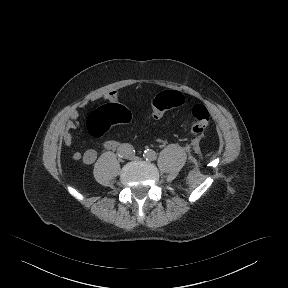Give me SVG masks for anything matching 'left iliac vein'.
Masks as SVG:
<instances>
[{"label": "left iliac vein", "mask_w": 288, "mask_h": 288, "mask_svg": "<svg viewBox=\"0 0 288 288\" xmlns=\"http://www.w3.org/2000/svg\"><path fill=\"white\" fill-rule=\"evenodd\" d=\"M134 159H135V160H138L139 158H138V157H134Z\"/></svg>", "instance_id": "4c4485c4"}]
</instances>
